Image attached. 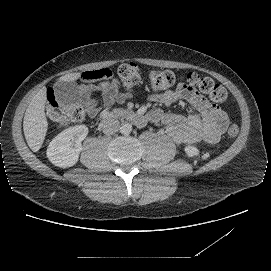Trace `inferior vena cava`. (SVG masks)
<instances>
[{
	"label": "inferior vena cava",
	"instance_id": "obj_1",
	"mask_svg": "<svg viewBox=\"0 0 271 271\" xmlns=\"http://www.w3.org/2000/svg\"><path fill=\"white\" fill-rule=\"evenodd\" d=\"M99 126L102 128L104 134L111 135L118 131L120 123L112 115L108 114L102 119Z\"/></svg>",
	"mask_w": 271,
	"mask_h": 271
}]
</instances>
